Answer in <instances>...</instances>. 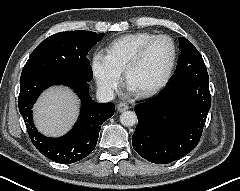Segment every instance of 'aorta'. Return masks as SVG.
<instances>
[{
	"instance_id": "762f6f07",
	"label": "aorta",
	"mask_w": 240,
	"mask_h": 191,
	"mask_svg": "<svg viewBox=\"0 0 240 191\" xmlns=\"http://www.w3.org/2000/svg\"><path fill=\"white\" fill-rule=\"evenodd\" d=\"M120 122L122 125H124L126 127H131L136 124L137 116H136L135 112H133V111H124L120 115Z\"/></svg>"
}]
</instances>
